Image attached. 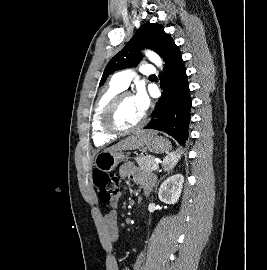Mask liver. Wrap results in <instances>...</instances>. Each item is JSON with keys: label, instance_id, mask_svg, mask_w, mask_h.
I'll return each instance as SVG.
<instances>
[{"label": "liver", "instance_id": "liver-1", "mask_svg": "<svg viewBox=\"0 0 267 270\" xmlns=\"http://www.w3.org/2000/svg\"><path fill=\"white\" fill-rule=\"evenodd\" d=\"M155 133L149 130H141L109 147L106 151L135 150L143 147L148 138Z\"/></svg>", "mask_w": 267, "mask_h": 270}]
</instances>
